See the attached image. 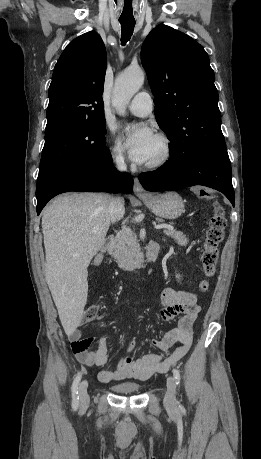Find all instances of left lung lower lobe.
<instances>
[{"label":"left lung lower lobe","mask_w":261,"mask_h":459,"mask_svg":"<svg viewBox=\"0 0 261 459\" xmlns=\"http://www.w3.org/2000/svg\"><path fill=\"white\" fill-rule=\"evenodd\" d=\"M138 178L148 191L175 190L194 185L211 187L222 192L233 206L235 204L226 147L197 154L183 166L168 160L162 167L142 173Z\"/></svg>","instance_id":"1"}]
</instances>
